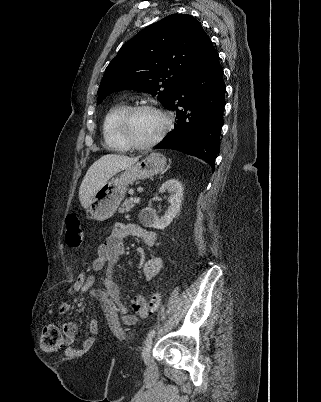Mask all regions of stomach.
I'll use <instances>...</instances> for the list:
<instances>
[{"instance_id":"stomach-1","label":"stomach","mask_w":321,"mask_h":402,"mask_svg":"<svg viewBox=\"0 0 321 402\" xmlns=\"http://www.w3.org/2000/svg\"><path fill=\"white\" fill-rule=\"evenodd\" d=\"M165 165V157L153 152L107 181L90 200L91 218L103 221L112 217L124 199L130 184L161 173Z\"/></svg>"}]
</instances>
